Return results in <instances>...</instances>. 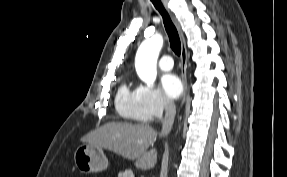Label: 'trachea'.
<instances>
[{"label":"trachea","instance_id":"3493384b","mask_svg":"<svg viewBox=\"0 0 287 177\" xmlns=\"http://www.w3.org/2000/svg\"><path fill=\"white\" fill-rule=\"evenodd\" d=\"M151 2L153 3L155 8L162 15L164 27H165L166 32H167L168 37H169L171 49L174 51V53L176 55L180 56V54H181V41H180L179 34H178V31H177L175 25L173 24L169 14L165 10V8H164V6L160 0H151Z\"/></svg>","mask_w":287,"mask_h":177}]
</instances>
